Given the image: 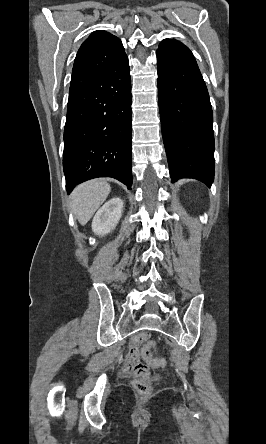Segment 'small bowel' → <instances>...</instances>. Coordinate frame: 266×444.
Wrapping results in <instances>:
<instances>
[{
  "label": "small bowel",
  "instance_id": "1",
  "mask_svg": "<svg viewBox=\"0 0 266 444\" xmlns=\"http://www.w3.org/2000/svg\"><path fill=\"white\" fill-rule=\"evenodd\" d=\"M143 339L144 336L138 338L135 341L131 351L127 354L122 368L123 375L128 377H143V378L149 375L148 366L140 361L141 353L138 349V344Z\"/></svg>",
  "mask_w": 266,
  "mask_h": 444
}]
</instances>
